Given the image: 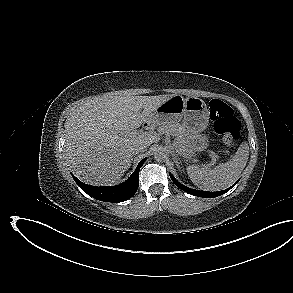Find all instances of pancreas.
Masks as SVG:
<instances>
[{
	"instance_id": "obj_1",
	"label": "pancreas",
	"mask_w": 293,
	"mask_h": 293,
	"mask_svg": "<svg viewBox=\"0 0 293 293\" xmlns=\"http://www.w3.org/2000/svg\"><path fill=\"white\" fill-rule=\"evenodd\" d=\"M159 132L175 137L174 144L180 151L181 155L185 157L193 156L194 150L190 143V136L183 124L178 122L168 123L159 127Z\"/></svg>"
}]
</instances>
